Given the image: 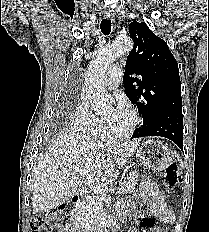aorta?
<instances>
[{
	"label": "aorta",
	"instance_id": "1",
	"mask_svg": "<svg viewBox=\"0 0 209 232\" xmlns=\"http://www.w3.org/2000/svg\"><path fill=\"white\" fill-rule=\"evenodd\" d=\"M132 48L131 39L118 38L99 51L89 63L85 75V89L94 111L100 112L111 107V98L104 86L105 72L119 55L130 52Z\"/></svg>",
	"mask_w": 209,
	"mask_h": 232
}]
</instances>
